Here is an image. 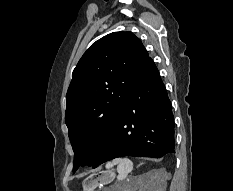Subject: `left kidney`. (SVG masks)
Instances as JSON below:
<instances>
[{"instance_id": "obj_1", "label": "left kidney", "mask_w": 233, "mask_h": 191, "mask_svg": "<svg viewBox=\"0 0 233 191\" xmlns=\"http://www.w3.org/2000/svg\"><path fill=\"white\" fill-rule=\"evenodd\" d=\"M151 177V181L150 182H148V184H146V186H151V185H153L154 184V180H156V176H154L153 175V173H150L149 174Z\"/></svg>"}]
</instances>
